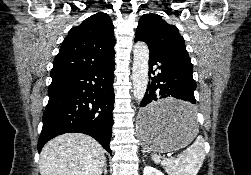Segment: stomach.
Masks as SVG:
<instances>
[{"instance_id": "stomach-1", "label": "stomach", "mask_w": 251, "mask_h": 175, "mask_svg": "<svg viewBox=\"0 0 251 175\" xmlns=\"http://www.w3.org/2000/svg\"><path fill=\"white\" fill-rule=\"evenodd\" d=\"M185 105L187 100H155V105L143 107L136 123L141 145L151 151H174L188 145L198 134L200 119L194 113L195 106Z\"/></svg>"}]
</instances>
